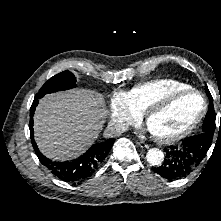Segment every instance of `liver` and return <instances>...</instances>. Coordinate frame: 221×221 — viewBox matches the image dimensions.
I'll return each mask as SVG.
<instances>
[{"label":"liver","mask_w":221,"mask_h":221,"mask_svg":"<svg viewBox=\"0 0 221 221\" xmlns=\"http://www.w3.org/2000/svg\"><path fill=\"white\" fill-rule=\"evenodd\" d=\"M105 116L103 96L94 91L73 89L48 94L35 111V140L52 160L75 158L97 139Z\"/></svg>","instance_id":"obj_1"}]
</instances>
